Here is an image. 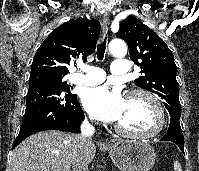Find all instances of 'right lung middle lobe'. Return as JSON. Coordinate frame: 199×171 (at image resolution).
I'll list each match as a JSON object with an SVG mask.
<instances>
[{
  "instance_id": "obj_1",
  "label": "right lung middle lobe",
  "mask_w": 199,
  "mask_h": 171,
  "mask_svg": "<svg viewBox=\"0 0 199 171\" xmlns=\"http://www.w3.org/2000/svg\"><path fill=\"white\" fill-rule=\"evenodd\" d=\"M36 81H49L57 84L62 90L68 91L69 86L65 81H63V77L53 76V75H36L30 76L29 83Z\"/></svg>"
}]
</instances>
